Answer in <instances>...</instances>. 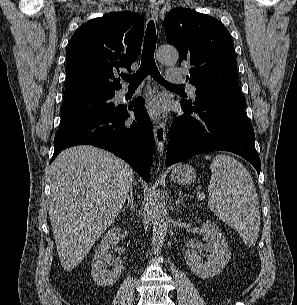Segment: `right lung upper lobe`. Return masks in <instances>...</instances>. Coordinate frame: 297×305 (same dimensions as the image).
I'll list each match as a JSON object with an SVG mask.
<instances>
[{
	"instance_id": "right-lung-upper-lobe-1",
	"label": "right lung upper lobe",
	"mask_w": 297,
	"mask_h": 305,
	"mask_svg": "<svg viewBox=\"0 0 297 305\" xmlns=\"http://www.w3.org/2000/svg\"><path fill=\"white\" fill-rule=\"evenodd\" d=\"M144 32L137 13L115 12L81 25L70 39L66 54L64 101L120 89V68L131 70Z\"/></svg>"
}]
</instances>
